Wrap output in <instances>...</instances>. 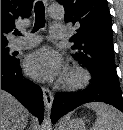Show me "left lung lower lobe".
Instances as JSON below:
<instances>
[{"label":"left lung lower lobe","instance_id":"0a47b994","mask_svg":"<svg viewBox=\"0 0 123 130\" xmlns=\"http://www.w3.org/2000/svg\"><path fill=\"white\" fill-rule=\"evenodd\" d=\"M91 75V85L88 89L77 93L61 92L56 94L51 110L53 123L78 106L90 102H104L123 112V99L119 81L106 75L92 73Z\"/></svg>","mask_w":123,"mask_h":130}]
</instances>
